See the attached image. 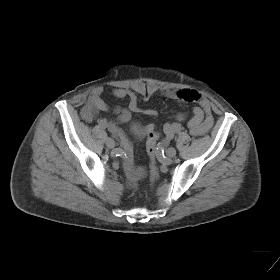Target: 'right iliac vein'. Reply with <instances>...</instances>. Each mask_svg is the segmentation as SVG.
Segmentation results:
<instances>
[{
	"instance_id": "obj_1",
	"label": "right iliac vein",
	"mask_w": 280,
	"mask_h": 280,
	"mask_svg": "<svg viewBox=\"0 0 280 280\" xmlns=\"http://www.w3.org/2000/svg\"><path fill=\"white\" fill-rule=\"evenodd\" d=\"M106 146L109 148V149H113L115 147V141L112 139V138H108L106 140Z\"/></svg>"
}]
</instances>
